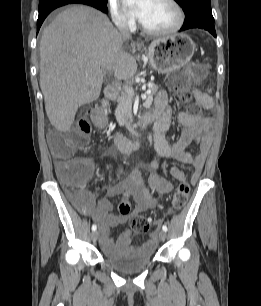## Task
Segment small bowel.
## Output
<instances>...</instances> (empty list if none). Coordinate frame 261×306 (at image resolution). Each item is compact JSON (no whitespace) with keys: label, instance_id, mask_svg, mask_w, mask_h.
I'll use <instances>...</instances> for the list:
<instances>
[{"label":"small bowel","instance_id":"small-bowel-1","mask_svg":"<svg viewBox=\"0 0 261 306\" xmlns=\"http://www.w3.org/2000/svg\"><path fill=\"white\" fill-rule=\"evenodd\" d=\"M195 100L204 109L212 107V100L200 91L195 92ZM151 116L154 118V140L156 157L148 166L149 177L147 183L154 188L159 195L172 192L175 185L170 181L161 178L158 175L160 161L162 159H174L181 163L189 164L193 167L191 182L195 183L202 173L205 161L211 148L215 122L210 117H201L194 113H177L173 106L168 104V95L165 91H160L155 99V108ZM173 121H176L181 127L180 138L174 145H169L165 139V132ZM192 145H199L200 152L192 154L188 148ZM112 155H114L112 153ZM89 177L93 169V162L88 160ZM68 165L67 162L58 161L56 169L59 172ZM171 175L177 180H184L183 172L177 168L170 169ZM147 183L140 169H133L129 176L118 184L108 187L106 195L95 203L94 196L91 193H85L81 202V210L90 215L94 221L99 224L102 234V245L110 249L112 245L111 231L113 228L127 223L131 216L145 210L154 208L157 200L154 199L147 187ZM126 194L134 199L135 207L130 214L115 216L111 213L113 203L111 198ZM123 239L122 242H125ZM156 237L152 235L148 243L154 244Z\"/></svg>","mask_w":261,"mask_h":306}]
</instances>
